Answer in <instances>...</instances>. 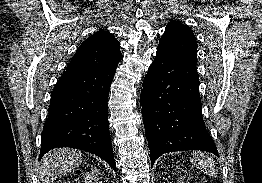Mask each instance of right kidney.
I'll return each mask as SVG.
<instances>
[{"mask_svg": "<svg viewBox=\"0 0 262 183\" xmlns=\"http://www.w3.org/2000/svg\"><path fill=\"white\" fill-rule=\"evenodd\" d=\"M100 174V172L98 170L92 171V172H88L86 173L85 177H84V183H94L97 182L100 178L98 177V175ZM94 181V182H93ZM102 183V182H100Z\"/></svg>", "mask_w": 262, "mask_h": 183, "instance_id": "obj_1", "label": "right kidney"}]
</instances>
